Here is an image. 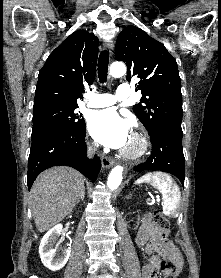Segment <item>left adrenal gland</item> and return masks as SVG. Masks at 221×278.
<instances>
[{
  "instance_id": "1",
  "label": "left adrenal gland",
  "mask_w": 221,
  "mask_h": 278,
  "mask_svg": "<svg viewBox=\"0 0 221 278\" xmlns=\"http://www.w3.org/2000/svg\"><path fill=\"white\" fill-rule=\"evenodd\" d=\"M132 198V193H130L128 196H126V199H131Z\"/></svg>"
}]
</instances>
